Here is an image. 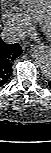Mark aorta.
<instances>
[{
	"mask_svg": "<svg viewBox=\"0 0 51 153\" xmlns=\"http://www.w3.org/2000/svg\"><path fill=\"white\" fill-rule=\"evenodd\" d=\"M36 60L40 64V68L46 78L51 77V52L46 46H39L34 49Z\"/></svg>",
	"mask_w": 51,
	"mask_h": 153,
	"instance_id": "762f6f07",
	"label": "aorta"
}]
</instances>
